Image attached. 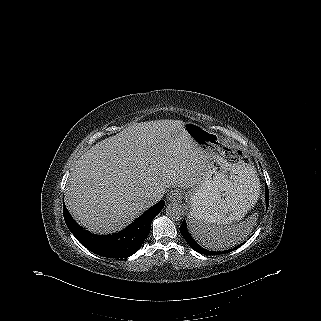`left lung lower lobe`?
I'll return each instance as SVG.
<instances>
[{
	"label": "left lung lower lobe",
	"mask_w": 321,
	"mask_h": 321,
	"mask_svg": "<svg viewBox=\"0 0 321 321\" xmlns=\"http://www.w3.org/2000/svg\"><path fill=\"white\" fill-rule=\"evenodd\" d=\"M266 205L268 207L269 205V193H268V188L266 186ZM180 233L182 234V236L184 237V239L186 240V242L190 245V247L195 250L196 252L198 253H201V254H206V255H218V254H223V253H227V252H230V251H233L234 249H231V250H228V251H223V252H216V251H208V250H205L203 248H201L196 242L195 240L190 236V234L188 233L187 231V228H186V222L185 220L183 221L181 227H180ZM242 245V244H241Z\"/></svg>",
	"instance_id": "left-lung-lower-lobe-1"
}]
</instances>
